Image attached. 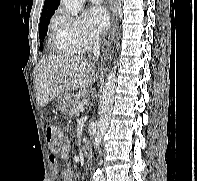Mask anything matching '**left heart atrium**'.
Segmentation results:
<instances>
[{
  "label": "left heart atrium",
  "instance_id": "obj_1",
  "mask_svg": "<svg viewBox=\"0 0 197 181\" xmlns=\"http://www.w3.org/2000/svg\"><path fill=\"white\" fill-rule=\"evenodd\" d=\"M87 22L90 28L98 34L106 31L110 24V15L106 8L94 6L86 13Z\"/></svg>",
  "mask_w": 197,
  "mask_h": 181
}]
</instances>
